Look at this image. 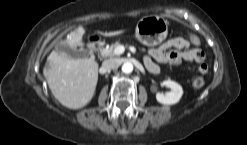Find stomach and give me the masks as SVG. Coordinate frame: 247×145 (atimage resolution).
<instances>
[{"label": "stomach", "mask_w": 247, "mask_h": 145, "mask_svg": "<svg viewBox=\"0 0 247 145\" xmlns=\"http://www.w3.org/2000/svg\"><path fill=\"white\" fill-rule=\"evenodd\" d=\"M168 21L159 16H147L136 25V37L146 46H156L166 39Z\"/></svg>", "instance_id": "stomach-1"}]
</instances>
